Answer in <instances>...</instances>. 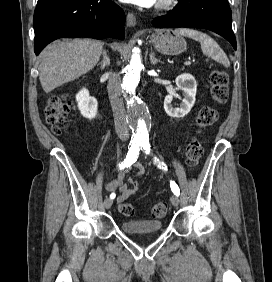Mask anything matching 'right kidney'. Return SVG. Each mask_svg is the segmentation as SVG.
<instances>
[{
    "mask_svg": "<svg viewBox=\"0 0 272 282\" xmlns=\"http://www.w3.org/2000/svg\"><path fill=\"white\" fill-rule=\"evenodd\" d=\"M76 101L81 114L88 119H93L97 115V99L89 95V91L83 88L77 95Z\"/></svg>",
    "mask_w": 272,
    "mask_h": 282,
    "instance_id": "1",
    "label": "right kidney"
}]
</instances>
